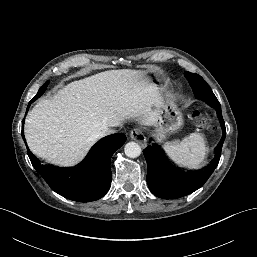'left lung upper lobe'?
Listing matches in <instances>:
<instances>
[{"instance_id":"5c2ea615","label":"left lung upper lobe","mask_w":257,"mask_h":257,"mask_svg":"<svg viewBox=\"0 0 257 257\" xmlns=\"http://www.w3.org/2000/svg\"><path fill=\"white\" fill-rule=\"evenodd\" d=\"M184 75L188 79L196 98L203 99L214 107L221 106L211 88L201 76L190 72H185Z\"/></svg>"}]
</instances>
